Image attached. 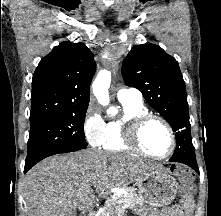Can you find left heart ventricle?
I'll return each mask as SVG.
<instances>
[{"mask_svg":"<svg viewBox=\"0 0 221 216\" xmlns=\"http://www.w3.org/2000/svg\"><path fill=\"white\" fill-rule=\"evenodd\" d=\"M142 143L150 153L162 155L170 149L171 139L162 123L152 121L143 130Z\"/></svg>","mask_w":221,"mask_h":216,"instance_id":"obj_1","label":"left heart ventricle"}]
</instances>
